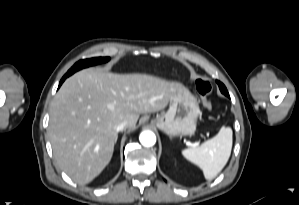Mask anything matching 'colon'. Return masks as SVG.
Masks as SVG:
<instances>
[{"instance_id":"5ec220e1","label":"colon","mask_w":299,"mask_h":205,"mask_svg":"<svg viewBox=\"0 0 299 205\" xmlns=\"http://www.w3.org/2000/svg\"><path fill=\"white\" fill-rule=\"evenodd\" d=\"M196 89L201 96L204 108L208 111L212 110V103L210 99L212 84L208 80L198 79L196 81Z\"/></svg>"}]
</instances>
